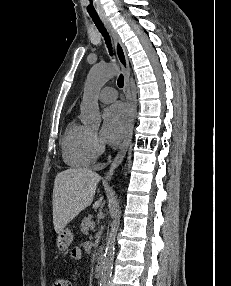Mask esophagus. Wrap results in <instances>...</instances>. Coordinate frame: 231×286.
Segmentation results:
<instances>
[{"label": "esophagus", "mask_w": 231, "mask_h": 286, "mask_svg": "<svg viewBox=\"0 0 231 286\" xmlns=\"http://www.w3.org/2000/svg\"><path fill=\"white\" fill-rule=\"evenodd\" d=\"M101 19L104 22V24L106 25V27L108 28L109 32L111 33V36L113 38L114 41V46H115V52H116V56L117 59L122 67L123 70V74H124V94H125V98H126V105L128 108V114H129V122H128V128L124 137V140L121 144L120 150L118 151V153L116 154L114 160L111 163V166L108 170V172L106 173V180H111L115 169L121 164L132 134H133V128H134V119H135V107L131 98V92H130V82H129V76H130V66H129V61L127 58V54H126V50L122 44L121 38L119 36V34L117 33L116 29L113 27V25L111 24V22L109 21V19L107 18L106 15H101Z\"/></svg>", "instance_id": "obj_1"}]
</instances>
